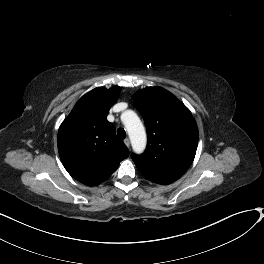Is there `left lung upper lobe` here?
Returning <instances> with one entry per match:
<instances>
[{
	"label": "left lung upper lobe",
	"mask_w": 264,
	"mask_h": 264,
	"mask_svg": "<svg viewBox=\"0 0 264 264\" xmlns=\"http://www.w3.org/2000/svg\"><path fill=\"white\" fill-rule=\"evenodd\" d=\"M147 129V148L132 154L139 171L157 184L179 179L192 164L198 145V128L189 109L161 87H147L133 97Z\"/></svg>",
	"instance_id": "obj_1"
}]
</instances>
